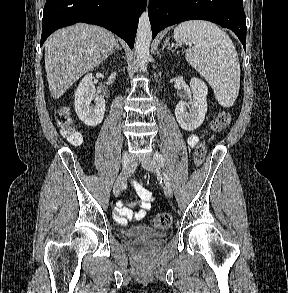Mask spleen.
Returning <instances> with one entry per match:
<instances>
[{"mask_svg":"<svg viewBox=\"0 0 288 293\" xmlns=\"http://www.w3.org/2000/svg\"><path fill=\"white\" fill-rule=\"evenodd\" d=\"M174 38L179 45L193 43L187 62L210 84L219 104L232 106L240 88V63L229 36L214 23L193 20L179 24Z\"/></svg>","mask_w":288,"mask_h":293,"instance_id":"spleen-1","label":"spleen"}]
</instances>
